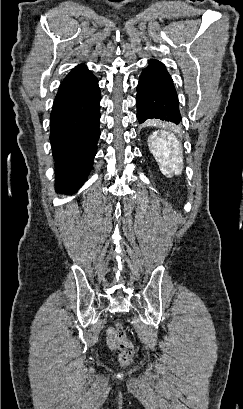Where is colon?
<instances>
[{"label":"colon","instance_id":"1","mask_svg":"<svg viewBox=\"0 0 243 409\" xmlns=\"http://www.w3.org/2000/svg\"><path fill=\"white\" fill-rule=\"evenodd\" d=\"M114 335L117 345L120 350L119 361L123 365H127L132 360L135 349L133 344L128 340L125 329L122 324L117 323L114 328Z\"/></svg>","mask_w":243,"mask_h":409}]
</instances>
